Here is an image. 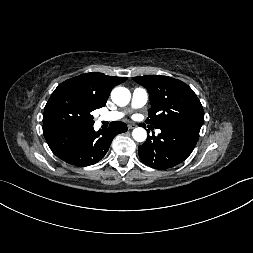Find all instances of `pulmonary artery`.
Instances as JSON below:
<instances>
[{
    "mask_svg": "<svg viewBox=\"0 0 253 253\" xmlns=\"http://www.w3.org/2000/svg\"><path fill=\"white\" fill-rule=\"evenodd\" d=\"M148 101V92L145 88L136 87L132 91V98H131V108H140L143 107ZM125 115V112L122 111H113L107 112L100 116V120L102 121H116L121 119ZM160 133V130L156 131Z\"/></svg>",
    "mask_w": 253,
    "mask_h": 253,
    "instance_id": "pulmonary-artery-1",
    "label": "pulmonary artery"
}]
</instances>
